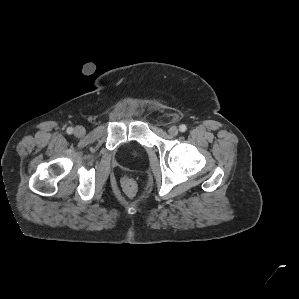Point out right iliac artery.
Here are the masks:
<instances>
[{
	"label": "right iliac artery",
	"instance_id": "obj_1",
	"mask_svg": "<svg viewBox=\"0 0 299 299\" xmlns=\"http://www.w3.org/2000/svg\"><path fill=\"white\" fill-rule=\"evenodd\" d=\"M67 133L72 134L73 133V128L72 127L67 128Z\"/></svg>",
	"mask_w": 299,
	"mask_h": 299
}]
</instances>
